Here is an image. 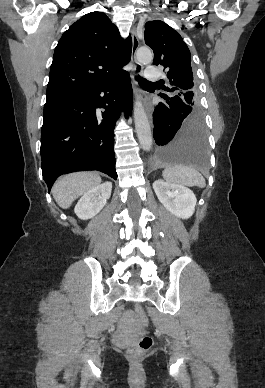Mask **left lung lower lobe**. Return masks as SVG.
<instances>
[{
    "instance_id": "1",
    "label": "left lung lower lobe",
    "mask_w": 265,
    "mask_h": 388,
    "mask_svg": "<svg viewBox=\"0 0 265 388\" xmlns=\"http://www.w3.org/2000/svg\"><path fill=\"white\" fill-rule=\"evenodd\" d=\"M161 97L164 100L153 113L154 140L157 144L154 163L205 167L207 134L201 110L186 105L177 97Z\"/></svg>"
}]
</instances>
